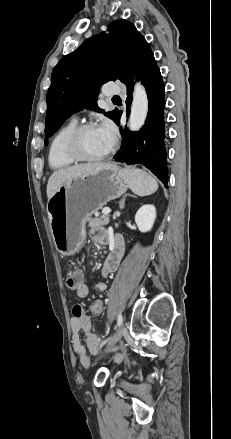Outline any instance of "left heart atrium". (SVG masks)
Returning <instances> with one entry per match:
<instances>
[{
    "mask_svg": "<svg viewBox=\"0 0 231 439\" xmlns=\"http://www.w3.org/2000/svg\"><path fill=\"white\" fill-rule=\"evenodd\" d=\"M99 132L106 140L109 147L113 146L117 138V131L114 124L111 121H104L99 127Z\"/></svg>",
    "mask_w": 231,
    "mask_h": 439,
    "instance_id": "obj_1",
    "label": "left heart atrium"
}]
</instances>
